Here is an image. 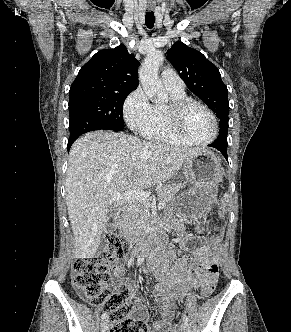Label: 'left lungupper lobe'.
<instances>
[{"label":"left lung upper lobe","instance_id":"obj_1","mask_svg":"<svg viewBox=\"0 0 291 332\" xmlns=\"http://www.w3.org/2000/svg\"><path fill=\"white\" fill-rule=\"evenodd\" d=\"M190 91L208 105L219 119L220 134L228 132V89L218 68L199 51L178 41L167 53Z\"/></svg>","mask_w":291,"mask_h":332}]
</instances>
